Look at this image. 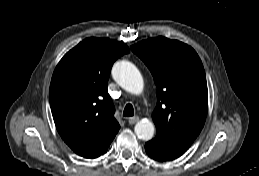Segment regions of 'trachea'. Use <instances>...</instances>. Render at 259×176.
I'll return each instance as SVG.
<instances>
[{
	"mask_svg": "<svg viewBox=\"0 0 259 176\" xmlns=\"http://www.w3.org/2000/svg\"><path fill=\"white\" fill-rule=\"evenodd\" d=\"M134 115V108L132 104H127L123 111V116L125 117H131Z\"/></svg>",
	"mask_w": 259,
	"mask_h": 176,
	"instance_id": "obj_1",
	"label": "trachea"
}]
</instances>
